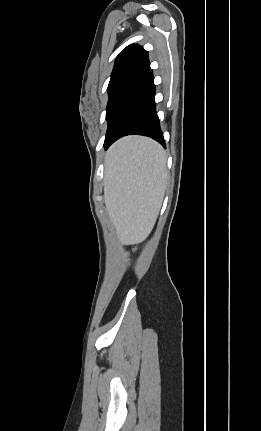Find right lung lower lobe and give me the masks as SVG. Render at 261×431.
<instances>
[{"instance_id": "1", "label": "right lung lower lobe", "mask_w": 261, "mask_h": 431, "mask_svg": "<svg viewBox=\"0 0 261 431\" xmlns=\"http://www.w3.org/2000/svg\"><path fill=\"white\" fill-rule=\"evenodd\" d=\"M155 85L150 67H146L132 83L115 111L109 129L107 149L117 139L131 134L153 138L165 147L155 110Z\"/></svg>"}]
</instances>
